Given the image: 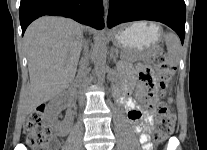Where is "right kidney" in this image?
<instances>
[{
	"label": "right kidney",
	"instance_id": "ca27d5eb",
	"mask_svg": "<svg viewBox=\"0 0 207 150\" xmlns=\"http://www.w3.org/2000/svg\"><path fill=\"white\" fill-rule=\"evenodd\" d=\"M67 101V94L62 92L55 96L48 104L46 109V116L52 130L58 129V115L62 105Z\"/></svg>",
	"mask_w": 207,
	"mask_h": 150
}]
</instances>
